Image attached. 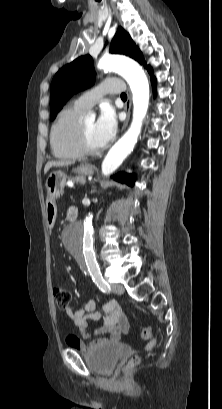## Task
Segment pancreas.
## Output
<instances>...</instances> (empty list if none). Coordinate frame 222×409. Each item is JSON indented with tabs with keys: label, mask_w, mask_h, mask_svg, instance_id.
<instances>
[{
	"label": "pancreas",
	"mask_w": 222,
	"mask_h": 409,
	"mask_svg": "<svg viewBox=\"0 0 222 409\" xmlns=\"http://www.w3.org/2000/svg\"><path fill=\"white\" fill-rule=\"evenodd\" d=\"M71 181L84 183L85 178L84 177H73V178H71Z\"/></svg>",
	"instance_id": "pancreas-1"
}]
</instances>
